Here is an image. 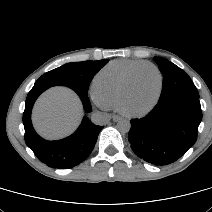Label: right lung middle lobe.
I'll list each match as a JSON object with an SVG mask.
<instances>
[{"label": "right lung middle lobe", "mask_w": 212, "mask_h": 212, "mask_svg": "<svg viewBox=\"0 0 212 212\" xmlns=\"http://www.w3.org/2000/svg\"><path fill=\"white\" fill-rule=\"evenodd\" d=\"M108 60L84 61L67 63L43 74L35 84L63 85L78 92L88 94V88L96 72H98Z\"/></svg>", "instance_id": "right-lung-middle-lobe-1"}]
</instances>
